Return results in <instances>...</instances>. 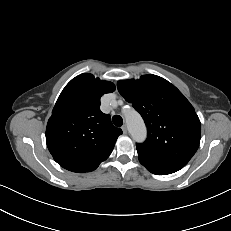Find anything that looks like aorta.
<instances>
[{
  "label": "aorta",
  "mask_w": 231,
  "mask_h": 231,
  "mask_svg": "<svg viewBox=\"0 0 231 231\" xmlns=\"http://www.w3.org/2000/svg\"><path fill=\"white\" fill-rule=\"evenodd\" d=\"M125 119L133 139L136 141H143L146 137V128L141 116L137 112L130 110L125 115Z\"/></svg>",
  "instance_id": "1"
}]
</instances>
